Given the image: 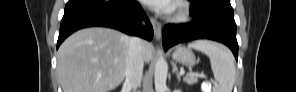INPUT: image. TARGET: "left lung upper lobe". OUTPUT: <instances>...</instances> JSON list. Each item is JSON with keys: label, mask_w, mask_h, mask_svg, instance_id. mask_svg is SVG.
<instances>
[{"label": "left lung upper lobe", "mask_w": 296, "mask_h": 92, "mask_svg": "<svg viewBox=\"0 0 296 92\" xmlns=\"http://www.w3.org/2000/svg\"><path fill=\"white\" fill-rule=\"evenodd\" d=\"M193 5L197 7L202 6H216V5H228L231 6L230 0H190Z\"/></svg>", "instance_id": "left-lung-upper-lobe-1"}]
</instances>
